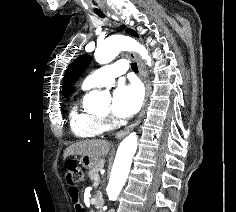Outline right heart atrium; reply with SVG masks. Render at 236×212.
<instances>
[{
    "label": "right heart atrium",
    "mask_w": 236,
    "mask_h": 212,
    "mask_svg": "<svg viewBox=\"0 0 236 212\" xmlns=\"http://www.w3.org/2000/svg\"><path fill=\"white\" fill-rule=\"evenodd\" d=\"M103 119H104L106 128H108L111 125V119L109 117H104Z\"/></svg>",
    "instance_id": "obj_1"
}]
</instances>
